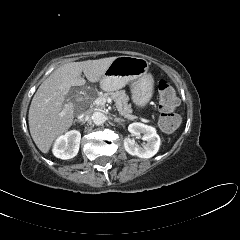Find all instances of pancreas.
I'll use <instances>...</instances> for the list:
<instances>
[{"instance_id": "1", "label": "pancreas", "mask_w": 240, "mask_h": 240, "mask_svg": "<svg viewBox=\"0 0 240 240\" xmlns=\"http://www.w3.org/2000/svg\"><path fill=\"white\" fill-rule=\"evenodd\" d=\"M97 97H104L105 99H112L115 102L117 110L121 116L128 120L136 119V116L131 114V107L128 104V96L126 95L124 90L116 91V92H107V93H97L93 97L90 98V101H93Z\"/></svg>"}]
</instances>
